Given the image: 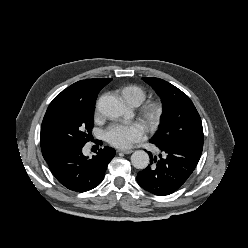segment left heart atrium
Listing matches in <instances>:
<instances>
[{
  "mask_svg": "<svg viewBox=\"0 0 248 248\" xmlns=\"http://www.w3.org/2000/svg\"><path fill=\"white\" fill-rule=\"evenodd\" d=\"M146 136V128L140 122L130 124H113L106 133V140L114 147L127 149L134 143L143 140Z\"/></svg>",
  "mask_w": 248,
  "mask_h": 248,
  "instance_id": "obj_1",
  "label": "left heart atrium"
}]
</instances>
